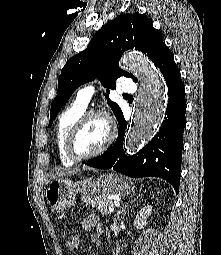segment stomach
<instances>
[{"instance_id": "0dacf381", "label": "stomach", "mask_w": 221, "mask_h": 255, "mask_svg": "<svg viewBox=\"0 0 221 255\" xmlns=\"http://www.w3.org/2000/svg\"><path fill=\"white\" fill-rule=\"evenodd\" d=\"M133 191L134 186L127 179L109 173L79 181L68 177L55 178L49 183L45 197L52 210H64L74 204L78 193L87 202L97 194L128 195Z\"/></svg>"}]
</instances>
